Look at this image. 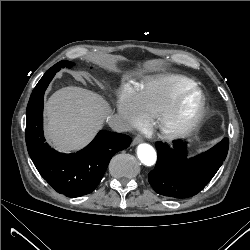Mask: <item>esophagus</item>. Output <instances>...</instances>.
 Wrapping results in <instances>:
<instances>
[{"label":"esophagus","mask_w":250,"mask_h":250,"mask_svg":"<svg viewBox=\"0 0 250 250\" xmlns=\"http://www.w3.org/2000/svg\"><path fill=\"white\" fill-rule=\"evenodd\" d=\"M143 141V138L140 135L134 137L132 141V145H137Z\"/></svg>","instance_id":"1"}]
</instances>
